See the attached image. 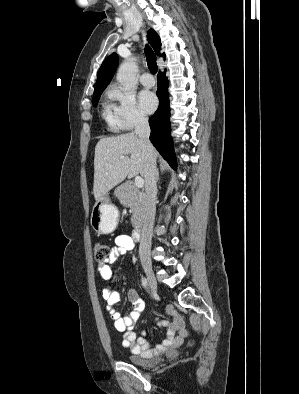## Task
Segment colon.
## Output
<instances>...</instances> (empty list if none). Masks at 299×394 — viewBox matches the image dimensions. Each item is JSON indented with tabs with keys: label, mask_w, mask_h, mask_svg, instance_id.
<instances>
[{
	"label": "colon",
	"mask_w": 299,
	"mask_h": 394,
	"mask_svg": "<svg viewBox=\"0 0 299 394\" xmlns=\"http://www.w3.org/2000/svg\"><path fill=\"white\" fill-rule=\"evenodd\" d=\"M93 253L96 261L103 263L110 257V245L104 241H96L93 244Z\"/></svg>",
	"instance_id": "colon-1"
}]
</instances>
